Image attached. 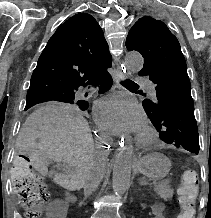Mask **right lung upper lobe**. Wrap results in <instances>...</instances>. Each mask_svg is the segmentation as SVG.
Wrapping results in <instances>:
<instances>
[{
	"label": "right lung upper lobe",
	"mask_w": 211,
	"mask_h": 218,
	"mask_svg": "<svg viewBox=\"0 0 211 218\" xmlns=\"http://www.w3.org/2000/svg\"><path fill=\"white\" fill-rule=\"evenodd\" d=\"M111 61L97 21L90 14H76L49 39L33 71L26 102L66 91L92 78Z\"/></svg>",
	"instance_id": "right-lung-upper-lobe-1"
}]
</instances>
